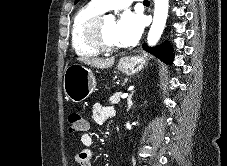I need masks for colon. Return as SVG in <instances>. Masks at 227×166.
I'll list each match as a JSON object with an SVG mask.
<instances>
[{"instance_id":"1","label":"colon","mask_w":227,"mask_h":166,"mask_svg":"<svg viewBox=\"0 0 227 166\" xmlns=\"http://www.w3.org/2000/svg\"><path fill=\"white\" fill-rule=\"evenodd\" d=\"M68 131L70 134H76L86 130L87 122L78 112H72L68 115Z\"/></svg>"}]
</instances>
